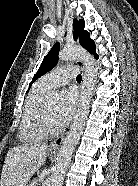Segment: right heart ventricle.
I'll return each mask as SVG.
<instances>
[{
	"label": "right heart ventricle",
	"instance_id": "right-heart-ventricle-1",
	"mask_svg": "<svg viewBox=\"0 0 138 186\" xmlns=\"http://www.w3.org/2000/svg\"><path fill=\"white\" fill-rule=\"evenodd\" d=\"M49 91L42 85L41 80L33 86L26 100L19 126L18 137L21 143L34 144L45 138L36 128L35 119Z\"/></svg>",
	"mask_w": 138,
	"mask_h": 186
}]
</instances>
